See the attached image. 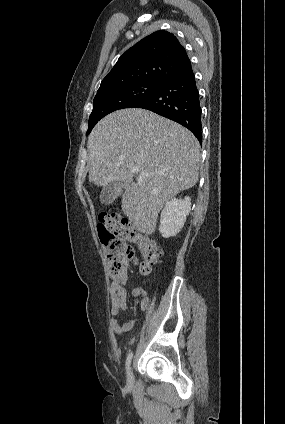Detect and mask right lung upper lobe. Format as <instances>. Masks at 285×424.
Wrapping results in <instances>:
<instances>
[{
	"label": "right lung upper lobe",
	"mask_w": 285,
	"mask_h": 424,
	"mask_svg": "<svg viewBox=\"0 0 285 424\" xmlns=\"http://www.w3.org/2000/svg\"><path fill=\"white\" fill-rule=\"evenodd\" d=\"M190 65L178 39L172 33L157 31L140 40L118 59L98 91L139 81L165 82Z\"/></svg>",
	"instance_id": "1"
}]
</instances>
